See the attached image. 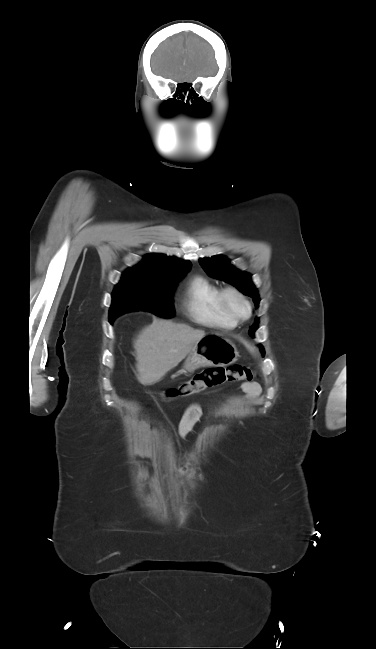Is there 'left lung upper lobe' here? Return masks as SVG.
<instances>
[{
  "label": "left lung upper lobe",
  "mask_w": 376,
  "mask_h": 649,
  "mask_svg": "<svg viewBox=\"0 0 376 649\" xmlns=\"http://www.w3.org/2000/svg\"><path fill=\"white\" fill-rule=\"evenodd\" d=\"M199 263L208 273V275L226 281L236 288H238L242 293L253 298L255 306L258 307L260 301L257 293V289L254 287L251 281V275L246 272H242L234 268L230 261L225 256H213L211 258H202L199 260ZM258 321H255V324L250 328L249 335L254 337V332L258 328Z\"/></svg>",
  "instance_id": "5c2ea615"
}]
</instances>
